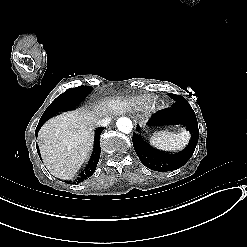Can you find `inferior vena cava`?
<instances>
[{"instance_id": "obj_1", "label": "inferior vena cava", "mask_w": 247, "mask_h": 247, "mask_svg": "<svg viewBox=\"0 0 247 247\" xmlns=\"http://www.w3.org/2000/svg\"><path fill=\"white\" fill-rule=\"evenodd\" d=\"M110 122H111V118L105 117V118L99 119L96 122V126L97 127H107L110 124Z\"/></svg>"}]
</instances>
